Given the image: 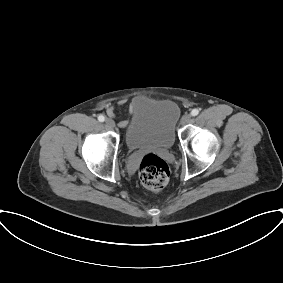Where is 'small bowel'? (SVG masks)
<instances>
[{
	"label": "small bowel",
	"instance_id": "small-bowel-1",
	"mask_svg": "<svg viewBox=\"0 0 283 283\" xmlns=\"http://www.w3.org/2000/svg\"><path fill=\"white\" fill-rule=\"evenodd\" d=\"M124 103H125V101H123V100L119 102L120 105H123ZM139 103H140V99H136V100L132 101L129 105V110L132 111L135 108V106H137ZM106 112H107V115L111 118H113L115 116V108L113 106H109L106 109ZM118 125L121 128H125V127H127L128 122L126 120H121V121H119Z\"/></svg>",
	"mask_w": 283,
	"mask_h": 283
}]
</instances>
